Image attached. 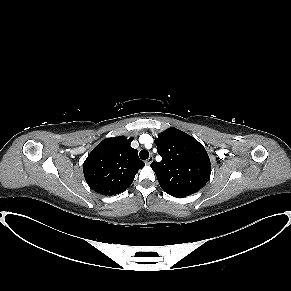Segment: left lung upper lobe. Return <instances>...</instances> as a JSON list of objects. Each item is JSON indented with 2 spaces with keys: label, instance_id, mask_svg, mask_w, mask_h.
<instances>
[{
  "label": "left lung upper lobe",
  "instance_id": "obj_1",
  "mask_svg": "<svg viewBox=\"0 0 291 291\" xmlns=\"http://www.w3.org/2000/svg\"><path fill=\"white\" fill-rule=\"evenodd\" d=\"M161 162H152L161 188L177 198L199 191L209 180L211 163L201 143L176 128H169L155 140Z\"/></svg>",
  "mask_w": 291,
  "mask_h": 291
}]
</instances>
